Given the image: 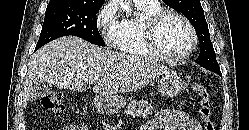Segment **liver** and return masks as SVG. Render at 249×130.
Listing matches in <instances>:
<instances>
[{
	"label": "liver",
	"instance_id": "obj_1",
	"mask_svg": "<svg viewBox=\"0 0 249 130\" xmlns=\"http://www.w3.org/2000/svg\"><path fill=\"white\" fill-rule=\"evenodd\" d=\"M171 72L146 57L116 53L67 36L48 43L32 56L25 77L23 106H27L30 91L38 81L83 92L84 81L96 79L93 92L112 96L141 89Z\"/></svg>",
	"mask_w": 249,
	"mask_h": 130
}]
</instances>
